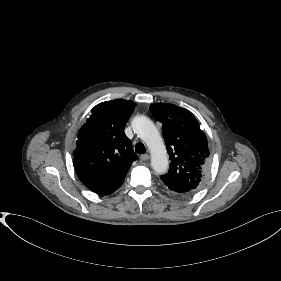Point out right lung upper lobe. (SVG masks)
Masks as SVG:
<instances>
[{"mask_svg": "<svg viewBox=\"0 0 281 281\" xmlns=\"http://www.w3.org/2000/svg\"><path fill=\"white\" fill-rule=\"evenodd\" d=\"M135 103L117 99L102 102L78 133L74 169L79 179L93 192L107 195L124 182L137 159L124 127Z\"/></svg>", "mask_w": 281, "mask_h": 281, "instance_id": "obj_1", "label": "right lung upper lobe"}]
</instances>
